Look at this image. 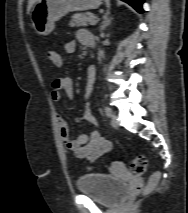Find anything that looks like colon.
I'll return each mask as SVG.
<instances>
[{
    "label": "colon",
    "instance_id": "1",
    "mask_svg": "<svg viewBox=\"0 0 188 213\" xmlns=\"http://www.w3.org/2000/svg\"><path fill=\"white\" fill-rule=\"evenodd\" d=\"M47 56L50 60L58 61L59 60V53L54 51V50H48L47 51ZM147 166V159L144 156H139L135 158L131 163H130V172L134 176H141ZM158 177V173H154L152 176V179L155 180Z\"/></svg>",
    "mask_w": 188,
    "mask_h": 213
}]
</instances>
